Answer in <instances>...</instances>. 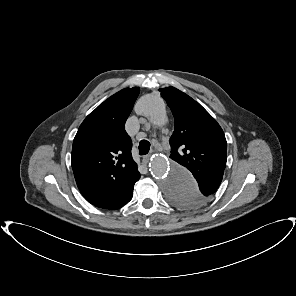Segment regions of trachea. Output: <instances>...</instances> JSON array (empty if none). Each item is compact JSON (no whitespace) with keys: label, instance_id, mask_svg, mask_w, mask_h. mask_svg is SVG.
<instances>
[{"label":"trachea","instance_id":"1","mask_svg":"<svg viewBox=\"0 0 296 296\" xmlns=\"http://www.w3.org/2000/svg\"><path fill=\"white\" fill-rule=\"evenodd\" d=\"M139 154L140 155H146L148 154L149 150H150V143L147 140H141L139 143Z\"/></svg>","mask_w":296,"mask_h":296}]
</instances>
